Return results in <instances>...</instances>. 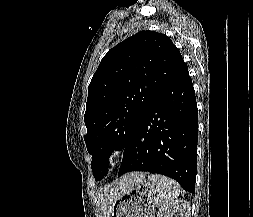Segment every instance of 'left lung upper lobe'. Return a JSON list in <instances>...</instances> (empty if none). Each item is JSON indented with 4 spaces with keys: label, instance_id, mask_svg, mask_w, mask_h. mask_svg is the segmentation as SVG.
Returning a JSON list of instances; mask_svg holds the SVG:
<instances>
[{
    "label": "left lung upper lobe",
    "instance_id": "1",
    "mask_svg": "<svg viewBox=\"0 0 253 217\" xmlns=\"http://www.w3.org/2000/svg\"><path fill=\"white\" fill-rule=\"evenodd\" d=\"M185 62L170 38L142 31L109 50L88 87L84 139L98 181L114 149L122 150L136 120Z\"/></svg>",
    "mask_w": 253,
    "mask_h": 217
}]
</instances>
